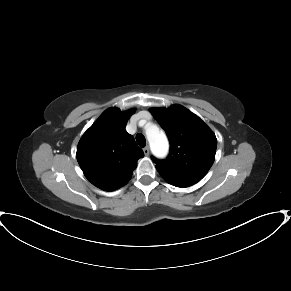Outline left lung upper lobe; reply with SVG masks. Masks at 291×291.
Listing matches in <instances>:
<instances>
[{
  "label": "left lung upper lobe",
  "mask_w": 291,
  "mask_h": 291,
  "mask_svg": "<svg viewBox=\"0 0 291 291\" xmlns=\"http://www.w3.org/2000/svg\"><path fill=\"white\" fill-rule=\"evenodd\" d=\"M150 111L170 141L167 159L161 161L152 157L160 175L177 187L199 182L214 162L215 134L197 115L181 105Z\"/></svg>",
  "instance_id": "left-lung-upper-lobe-1"
}]
</instances>
